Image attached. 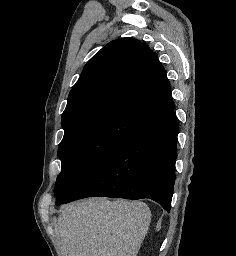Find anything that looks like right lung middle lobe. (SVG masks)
I'll use <instances>...</instances> for the list:
<instances>
[{
	"instance_id": "dd1d6c3e",
	"label": "right lung middle lobe",
	"mask_w": 236,
	"mask_h": 256,
	"mask_svg": "<svg viewBox=\"0 0 236 256\" xmlns=\"http://www.w3.org/2000/svg\"><path fill=\"white\" fill-rule=\"evenodd\" d=\"M146 123L130 113L119 111L86 119L64 129L58 148L62 167L56 181V202L65 200L99 163Z\"/></svg>"
}]
</instances>
